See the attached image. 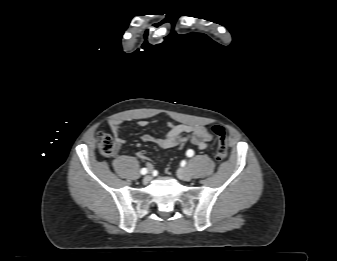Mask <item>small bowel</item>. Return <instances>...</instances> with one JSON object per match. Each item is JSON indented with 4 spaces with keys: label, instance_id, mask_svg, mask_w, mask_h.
Instances as JSON below:
<instances>
[{
    "label": "small bowel",
    "instance_id": "c3829d8e",
    "mask_svg": "<svg viewBox=\"0 0 337 261\" xmlns=\"http://www.w3.org/2000/svg\"><path fill=\"white\" fill-rule=\"evenodd\" d=\"M139 127H146L149 122L146 120H140L137 123ZM123 122L121 120H111L109 127L115 137V141L118 147L125 143V140L121 136V127ZM167 132L160 136L155 137L150 134L141 135V140L145 143H155L162 148L181 147L186 143H191L199 149H205L208 147L212 140V134L208 129L202 125H188V124H173L168 122ZM137 157L141 160L148 161L147 166L151 169L152 163L150 162L145 151L140 150L136 153Z\"/></svg>",
    "mask_w": 337,
    "mask_h": 261
}]
</instances>
